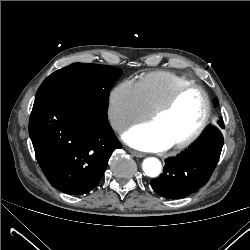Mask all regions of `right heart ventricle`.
Listing matches in <instances>:
<instances>
[{
  "label": "right heart ventricle",
  "instance_id": "right-heart-ventricle-1",
  "mask_svg": "<svg viewBox=\"0 0 250 250\" xmlns=\"http://www.w3.org/2000/svg\"><path fill=\"white\" fill-rule=\"evenodd\" d=\"M193 81L169 71L150 72L138 79L136 85L149 112L163 105L181 86Z\"/></svg>",
  "mask_w": 250,
  "mask_h": 250
}]
</instances>
